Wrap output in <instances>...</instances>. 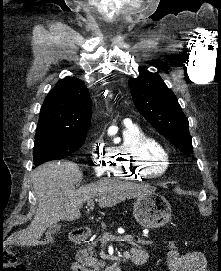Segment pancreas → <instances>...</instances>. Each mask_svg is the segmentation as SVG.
Here are the masks:
<instances>
[{
  "label": "pancreas",
  "mask_w": 221,
  "mask_h": 271,
  "mask_svg": "<svg viewBox=\"0 0 221 271\" xmlns=\"http://www.w3.org/2000/svg\"><path fill=\"white\" fill-rule=\"evenodd\" d=\"M104 234H112L111 231H105V233H102V237H100L98 240L101 242L104 239ZM135 244H142V247H151V244L153 243V240L151 239L148 241L147 239H144L141 237L140 239L134 240ZM97 243L96 241L92 240L87 245V249H79L77 251V259L79 263H83V265H86V267H89L88 271H100L101 265H104V263H101L97 257H93L95 255V247Z\"/></svg>",
  "instance_id": "cf45deb5"
}]
</instances>
